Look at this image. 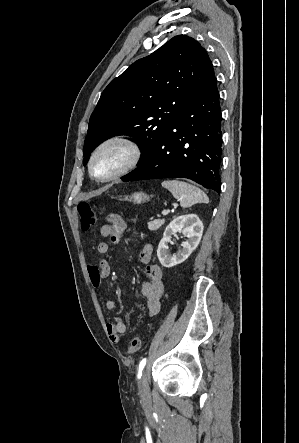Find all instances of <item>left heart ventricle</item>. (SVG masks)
I'll return each mask as SVG.
<instances>
[{"label": "left heart ventricle", "instance_id": "obj_1", "mask_svg": "<svg viewBox=\"0 0 299 443\" xmlns=\"http://www.w3.org/2000/svg\"><path fill=\"white\" fill-rule=\"evenodd\" d=\"M126 153L119 146H110L97 158L94 172L97 176H105L114 171L125 159Z\"/></svg>", "mask_w": 299, "mask_h": 443}]
</instances>
